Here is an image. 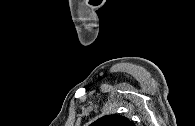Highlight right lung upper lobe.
Segmentation results:
<instances>
[{"instance_id":"1","label":"right lung upper lobe","mask_w":195,"mask_h":126,"mask_svg":"<svg viewBox=\"0 0 195 126\" xmlns=\"http://www.w3.org/2000/svg\"><path fill=\"white\" fill-rule=\"evenodd\" d=\"M90 126H134V124L126 117L121 115H107L99 118Z\"/></svg>"}]
</instances>
